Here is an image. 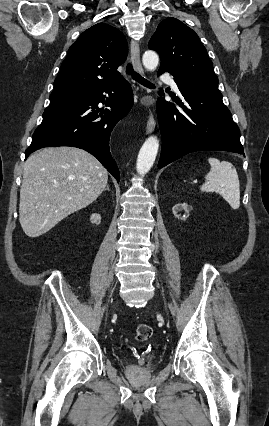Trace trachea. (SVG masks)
<instances>
[{"label": "trachea", "mask_w": 269, "mask_h": 426, "mask_svg": "<svg viewBox=\"0 0 269 426\" xmlns=\"http://www.w3.org/2000/svg\"><path fill=\"white\" fill-rule=\"evenodd\" d=\"M126 72L127 74L131 75L133 77V79H135L137 82H139L140 84L146 86V87H154V85L152 83H150L149 81H147L146 79H144L143 77H141L138 73H136L133 70V67L131 64H128L126 67Z\"/></svg>", "instance_id": "trachea-1"}]
</instances>
